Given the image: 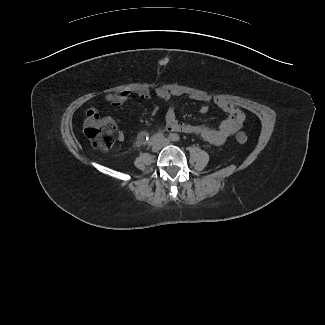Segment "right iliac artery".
Masks as SVG:
<instances>
[{
	"instance_id": "right-iliac-artery-1",
	"label": "right iliac artery",
	"mask_w": 325,
	"mask_h": 325,
	"mask_svg": "<svg viewBox=\"0 0 325 325\" xmlns=\"http://www.w3.org/2000/svg\"><path fill=\"white\" fill-rule=\"evenodd\" d=\"M163 134L162 133H157L155 135H153L149 141H148V145H153L154 143L160 141L161 139H163Z\"/></svg>"
}]
</instances>
